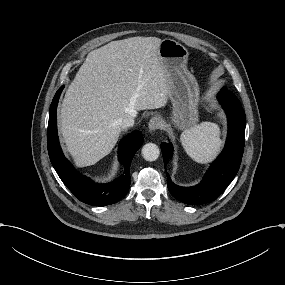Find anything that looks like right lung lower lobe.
<instances>
[{
  "label": "right lung lower lobe",
  "instance_id": "98d812e1",
  "mask_svg": "<svg viewBox=\"0 0 285 285\" xmlns=\"http://www.w3.org/2000/svg\"><path fill=\"white\" fill-rule=\"evenodd\" d=\"M62 86L55 94L49 111L47 131L48 153L51 163L66 187L80 201L94 206H105L119 201L130 187V164L136 151L143 143L140 131H134L124 137L118 149L119 161L124 165V173L108 184H96L91 179L79 174L64 157L57 134L56 109Z\"/></svg>",
  "mask_w": 285,
  "mask_h": 285
}]
</instances>
